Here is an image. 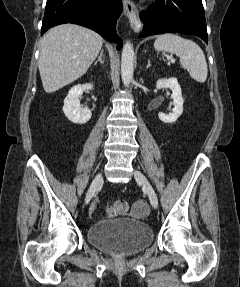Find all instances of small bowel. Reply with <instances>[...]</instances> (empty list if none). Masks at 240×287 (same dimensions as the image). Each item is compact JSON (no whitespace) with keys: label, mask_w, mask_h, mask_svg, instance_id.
Here are the masks:
<instances>
[{"label":"small bowel","mask_w":240,"mask_h":287,"mask_svg":"<svg viewBox=\"0 0 240 287\" xmlns=\"http://www.w3.org/2000/svg\"><path fill=\"white\" fill-rule=\"evenodd\" d=\"M95 209L94 206L91 207V212ZM132 212L134 214L142 213L140 216L145 215L148 212V205L142 199H138L133 203Z\"/></svg>","instance_id":"c3829d8e"}]
</instances>
